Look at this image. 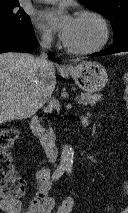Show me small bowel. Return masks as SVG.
Instances as JSON below:
<instances>
[{
  "label": "small bowel",
  "instance_id": "obj_1",
  "mask_svg": "<svg viewBox=\"0 0 128 213\" xmlns=\"http://www.w3.org/2000/svg\"><path fill=\"white\" fill-rule=\"evenodd\" d=\"M51 188V170L41 168L36 173V193L25 213H56V201L49 195ZM0 211L3 213H20L21 202L19 200L0 201Z\"/></svg>",
  "mask_w": 128,
  "mask_h": 213
}]
</instances>
